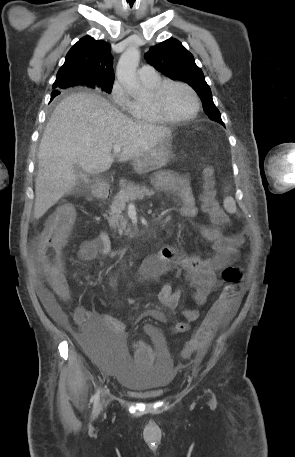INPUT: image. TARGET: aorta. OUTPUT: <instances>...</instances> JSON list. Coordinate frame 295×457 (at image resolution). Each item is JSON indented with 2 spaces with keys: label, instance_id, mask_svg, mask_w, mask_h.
Returning <instances> with one entry per match:
<instances>
[{
  "label": "aorta",
  "instance_id": "aorta-1",
  "mask_svg": "<svg viewBox=\"0 0 295 457\" xmlns=\"http://www.w3.org/2000/svg\"><path fill=\"white\" fill-rule=\"evenodd\" d=\"M139 61V48L137 46H130L122 53L116 67L118 81L127 92L134 96L140 95V85L136 76Z\"/></svg>",
  "mask_w": 295,
  "mask_h": 457
}]
</instances>
